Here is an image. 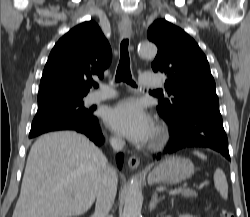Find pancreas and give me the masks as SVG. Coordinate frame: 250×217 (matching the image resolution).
I'll return each instance as SVG.
<instances>
[{"mask_svg":"<svg viewBox=\"0 0 250 217\" xmlns=\"http://www.w3.org/2000/svg\"><path fill=\"white\" fill-rule=\"evenodd\" d=\"M177 194H181L184 197H197V192L195 190H179Z\"/></svg>","mask_w":250,"mask_h":217,"instance_id":"cf45deb5","label":"pancreas"}]
</instances>
